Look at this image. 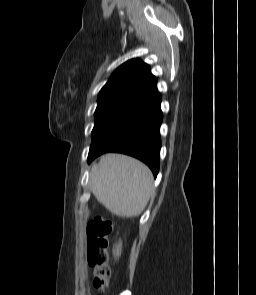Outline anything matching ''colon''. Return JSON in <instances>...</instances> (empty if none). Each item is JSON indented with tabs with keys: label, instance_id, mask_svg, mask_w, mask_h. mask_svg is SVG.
I'll list each match as a JSON object with an SVG mask.
<instances>
[{
	"label": "colon",
	"instance_id": "obj_1",
	"mask_svg": "<svg viewBox=\"0 0 256 295\" xmlns=\"http://www.w3.org/2000/svg\"><path fill=\"white\" fill-rule=\"evenodd\" d=\"M114 222L109 217L97 216L90 221L87 233V260L94 269L93 288L98 295H105L109 286L110 266L109 248L110 236L113 233Z\"/></svg>",
	"mask_w": 256,
	"mask_h": 295
}]
</instances>
